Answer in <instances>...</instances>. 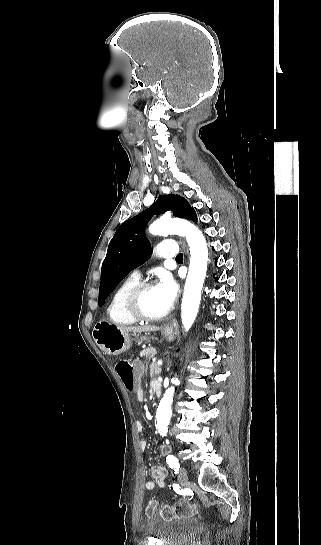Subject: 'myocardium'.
Returning <instances> with one entry per match:
<instances>
[{
	"label": "myocardium",
	"mask_w": 321,
	"mask_h": 545,
	"mask_svg": "<svg viewBox=\"0 0 321 545\" xmlns=\"http://www.w3.org/2000/svg\"><path fill=\"white\" fill-rule=\"evenodd\" d=\"M154 285L150 282H138L134 286H132L124 295L123 298V312L130 320H132L135 323H148V322H156L164 319L169 313L170 309L162 314L157 315H149L143 313L139 307H138V300L140 296L152 289Z\"/></svg>",
	"instance_id": "f54148a6"
}]
</instances>
